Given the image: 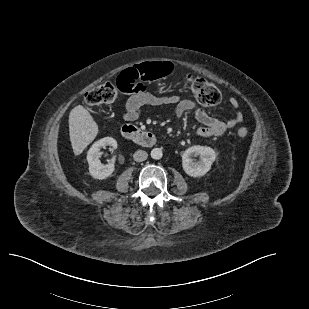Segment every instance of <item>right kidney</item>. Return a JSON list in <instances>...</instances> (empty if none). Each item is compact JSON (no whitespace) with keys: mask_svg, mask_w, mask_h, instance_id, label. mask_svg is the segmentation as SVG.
Segmentation results:
<instances>
[{"mask_svg":"<svg viewBox=\"0 0 309 309\" xmlns=\"http://www.w3.org/2000/svg\"><path fill=\"white\" fill-rule=\"evenodd\" d=\"M111 146L113 149L117 148V141L112 137H105L95 142L89 149L87 154V161L89 164V173L94 179H106L112 175L115 170L114 160L109 164H102L100 161V149L102 147Z\"/></svg>","mask_w":309,"mask_h":309,"instance_id":"1","label":"right kidney"}]
</instances>
